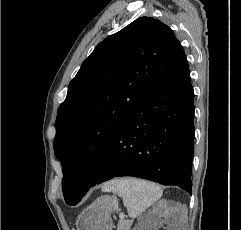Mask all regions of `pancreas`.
Wrapping results in <instances>:
<instances>
[{
	"instance_id": "obj_1",
	"label": "pancreas",
	"mask_w": 241,
	"mask_h": 230,
	"mask_svg": "<svg viewBox=\"0 0 241 230\" xmlns=\"http://www.w3.org/2000/svg\"><path fill=\"white\" fill-rule=\"evenodd\" d=\"M131 222L128 220H120L117 230H129Z\"/></svg>"
}]
</instances>
